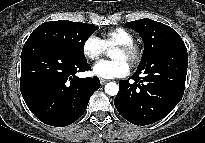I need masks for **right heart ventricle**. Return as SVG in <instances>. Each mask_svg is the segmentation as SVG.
Listing matches in <instances>:
<instances>
[{"mask_svg":"<svg viewBox=\"0 0 205 143\" xmlns=\"http://www.w3.org/2000/svg\"><path fill=\"white\" fill-rule=\"evenodd\" d=\"M100 40L108 49L119 44L134 42V36L127 29L118 27L102 33Z\"/></svg>","mask_w":205,"mask_h":143,"instance_id":"obj_1","label":"right heart ventricle"}]
</instances>
